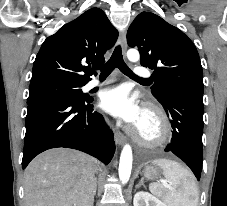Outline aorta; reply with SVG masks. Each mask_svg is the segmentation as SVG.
<instances>
[{
	"instance_id": "obj_1",
	"label": "aorta",
	"mask_w": 227,
	"mask_h": 206,
	"mask_svg": "<svg viewBox=\"0 0 227 206\" xmlns=\"http://www.w3.org/2000/svg\"><path fill=\"white\" fill-rule=\"evenodd\" d=\"M127 58L132 62H136L140 58L139 52L136 49H129L127 51ZM132 161V149L130 145L126 144L121 152L118 169L119 179L122 184H126L129 181L132 169Z\"/></svg>"
}]
</instances>
